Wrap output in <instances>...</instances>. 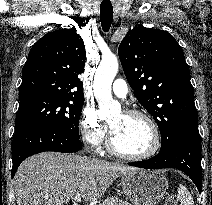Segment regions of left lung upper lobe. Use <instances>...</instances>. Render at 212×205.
Here are the masks:
<instances>
[{
  "instance_id": "obj_1",
  "label": "left lung upper lobe",
  "mask_w": 212,
  "mask_h": 205,
  "mask_svg": "<svg viewBox=\"0 0 212 205\" xmlns=\"http://www.w3.org/2000/svg\"><path fill=\"white\" fill-rule=\"evenodd\" d=\"M118 55L134 95L159 127L164 150L198 122L183 50L167 31L136 27L121 41Z\"/></svg>"
}]
</instances>
